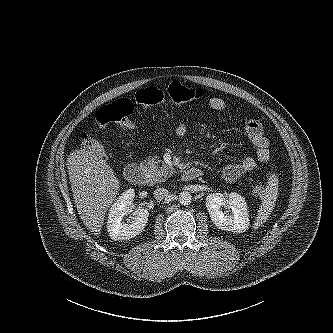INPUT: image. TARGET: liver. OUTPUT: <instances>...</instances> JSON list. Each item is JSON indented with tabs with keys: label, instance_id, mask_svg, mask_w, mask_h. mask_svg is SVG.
<instances>
[{
	"label": "liver",
	"instance_id": "obj_1",
	"mask_svg": "<svg viewBox=\"0 0 333 333\" xmlns=\"http://www.w3.org/2000/svg\"><path fill=\"white\" fill-rule=\"evenodd\" d=\"M66 165L80 219L98 236L105 214L118 194L120 182L107 162L87 149L70 153Z\"/></svg>",
	"mask_w": 333,
	"mask_h": 333
}]
</instances>
